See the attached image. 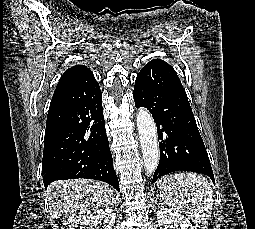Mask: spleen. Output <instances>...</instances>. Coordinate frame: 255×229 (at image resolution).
Listing matches in <instances>:
<instances>
[{
    "label": "spleen",
    "instance_id": "3e777b00",
    "mask_svg": "<svg viewBox=\"0 0 255 229\" xmlns=\"http://www.w3.org/2000/svg\"><path fill=\"white\" fill-rule=\"evenodd\" d=\"M173 177L182 186L179 195L176 191L161 190L160 196L177 211L187 214L200 224L206 223L212 213L213 190L208 180L201 174L182 172ZM192 196V200L186 199Z\"/></svg>",
    "mask_w": 255,
    "mask_h": 229
}]
</instances>
